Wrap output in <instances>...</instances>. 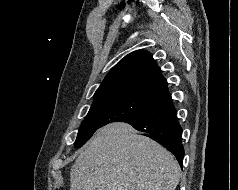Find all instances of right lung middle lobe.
Wrapping results in <instances>:
<instances>
[{"instance_id": "right-lung-middle-lobe-1", "label": "right lung middle lobe", "mask_w": 238, "mask_h": 190, "mask_svg": "<svg viewBox=\"0 0 238 190\" xmlns=\"http://www.w3.org/2000/svg\"><path fill=\"white\" fill-rule=\"evenodd\" d=\"M152 105L151 102L132 96H112L94 100L88 115L81 124L74 146L84 145L102 126L112 122H123L134 117Z\"/></svg>"}]
</instances>
